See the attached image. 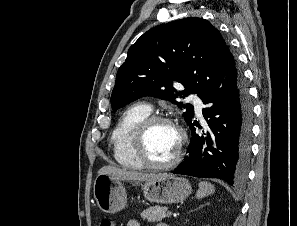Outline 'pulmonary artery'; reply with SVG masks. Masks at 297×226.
<instances>
[{
  "mask_svg": "<svg viewBox=\"0 0 297 226\" xmlns=\"http://www.w3.org/2000/svg\"><path fill=\"white\" fill-rule=\"evenodd\" d=\"M189 99L193 101L197 114L201 115L202 114V108H203L202 101L198 97H196L195 95H190Z\"/></svg>",
  "mask_w": 297,
  "mask_h": 226,
  "instance_id": "e3ab8cb5",
  "label": "pulmonary artery"
}]
</instances>
